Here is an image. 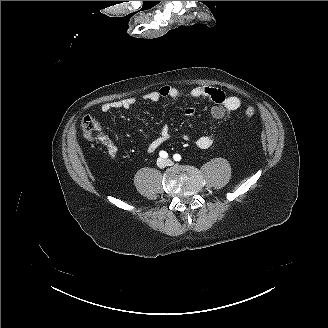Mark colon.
I'll return each instance as SVG.
<instances>
[{"instance_id":"1","label":"colon","mask_w":328,"mask_h":328,"mask_svg":"<svg viewBox=\"0 0 328 328\" xmlns=\"http://www.w3.org/2000/svg\"><path fill=\"white\" fill-rule=\"evenodd\" d=\"M256 113L254 107L249 106L245 109V115L249 118L253 117ZM83 135L87 139H101L100 124L91 116H85L81 122Z\"/></svg>"}]
</instances>
